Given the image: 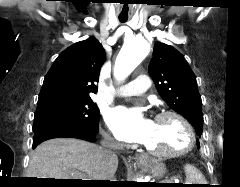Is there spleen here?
<instances>
[{
    "instance_id": "spleen-1",
    "label": "spleen",
    "mask_w": 240,
    "mask_h": 187,
    "mask_svg": "<svg viewBox=\"0 0 240 187\" xmlns=\"http://www.w3.org/2000/svg\"><path fill=\"white\" fill-rule=\"evenodd\" d=\"M184 170L187 184H206L204 176L195 166L186 164Z\"/></svg>"
}]
</instances>
